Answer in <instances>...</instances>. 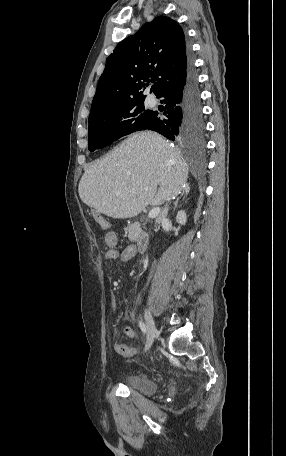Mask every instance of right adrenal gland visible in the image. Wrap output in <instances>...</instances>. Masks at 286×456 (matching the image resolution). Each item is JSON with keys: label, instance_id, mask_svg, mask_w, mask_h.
Returning <instances> with one entry per match:
<instances>
[{"label": "right adrenal gland", "instance_id": "right-adrenal-gland-1", "mask_svg": "<svg viewBox=\"0 0 286 456\" xmlns=\"http://www.w3.org/2000/svg\"><path fill=\"white\" fill-rule=\"evenodd\" d=\"M189 191H190L189 185L185 186V188L182 190V193H181V195H180V198L183 197V196H184V197L187 196V194L189 193ZM180 198H178V199L175 201L173 210H175V209L178 207V202H179V199H180Z\"/></svg>", "mask_w": 286, "mask_h": 456}]
</instances>
